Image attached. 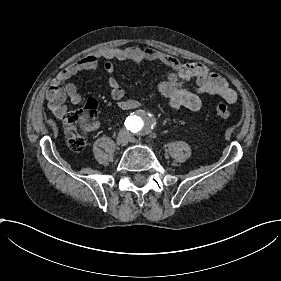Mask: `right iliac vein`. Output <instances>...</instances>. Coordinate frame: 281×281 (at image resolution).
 <instances>
[{"label":"right iliac vein","mask_w":281,"mask_h":281,"mask_svg":"<svg viewBox=\"0 0 281 281\" xmlns=\"http://www.w3.org/2000/svg\"><path fill=\"white\" fill-rule=\"evenodd\" d=\"M129 142V135L127 133H120L116 136V145L118 147H123Z\"/></svg>","instance_id":"obj_1"}]
</instances>
